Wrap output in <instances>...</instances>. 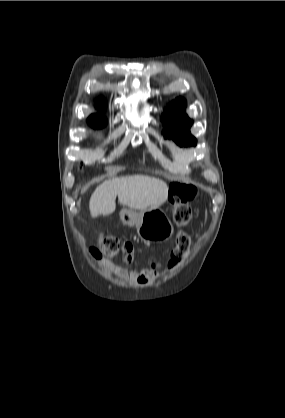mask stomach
I'll list each match as a JSON object with an SVG mask.
<instances>
[{
    "instance_id": "0dacf381",
    "label": "stomach",
    "mask_w": 285,
    "mask_h": 418,
    "mask_svg": "<svg viewBox=\"0 0 285 418\" xmlns=\"http://www.w3.org/2000/svg\"><path fill=\"white\" fill-rule=\"evenodd\" d=\"M120 218L125 225H136L139 237L145 242L166 240L173 234L168 217L159 208L149 209L140 214L122 209Z\"/></svg>"
}]
</instances>
